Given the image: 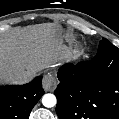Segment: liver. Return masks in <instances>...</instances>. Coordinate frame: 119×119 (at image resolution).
I'll list each match as a JSON object with an SVG mask.
<instances>
[{"label": "liver", "mask_w": 119, "mask_h": 119, "mask_svg": "<svg viewBox=\"0 0 119 119\" xmlns=\"http://www.w3.org/2000/svg\"><path fill=\"white\" fill-rule=\"evenodd\" d=\"M60 25L28 26L0 39V83H11L20 74L36 75L62 57Z\"/></svg>", "instance_id": "6515ba94"}]
</instances>
